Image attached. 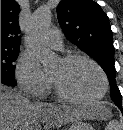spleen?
<instances>
[{"label": "spleen", "instance_id": "3e777b00", "mask_svg": "<svg viewBox=\"0 0 123 130\" xmlns=\"http://www.w3.org/2000/svg\"><path fill=\"white\" fill-rule=\"evenodd\" d=\"M106 130H120V125L117 120H112L106 127Z\"/></svg>", "mask_w": 123, "mask_h": 130}]
</instances>
